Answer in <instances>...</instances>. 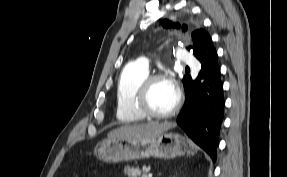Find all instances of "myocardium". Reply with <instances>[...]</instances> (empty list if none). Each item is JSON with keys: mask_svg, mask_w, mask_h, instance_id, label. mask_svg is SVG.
<instances>
[{"mask_svg": "<svg viewBox=\"0 0 287 177\" xmlns=\"http://www.w3.org/2000/svg\"><path fill=\"white\" fill-rule=\"evenodd\" d=\"M158 81H168L172 83L169 80V78L164 74L156 73V74L148 75L144 79V81L141 83V85L139 86L135 99H134V106L136 110L142 116L146 118H151V119L169 118L175 115L179 111L180 106H181V99H182L181 92L179 88L176 87L172 83L173 87L175 88V92H176V100H175L174 106L170 110L163 112V113H156L149 108V105H148L149 94H150V91L153 85Z\"/></svg>", "mask_w": 287, "mask_h": 177, "instance_id": "f54148a6", "label": "myocardium"}]
</instances>
